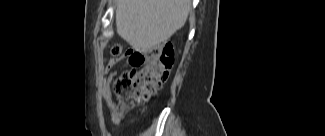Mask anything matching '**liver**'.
<instances>
[{
	"mask_svg": "<svg viewBox=\"0 0 325 136\" xmlns=\"http://www.w3.org/2000/svg\"><path fill=\"white\" fill-rule=\"evenodd\" d=\"M191 0H119L116 29L136 51L145 53L181 29Z\"/></svg>",
	"mask_w": 325,
	"mask_h": 136,
	"instance_id": "6515ba94",
	"label": "liver"
}]
</instances>
